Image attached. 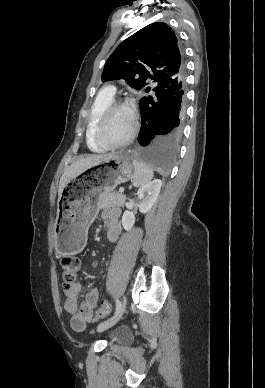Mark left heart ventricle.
Here are the masks:
<instances>
[{"instance_id":"obj_1","label":"left heart ventricle","mask_w":265,"mask_h":388,"mask_svg":"<svg viewBox=\"0 0 265 388\" xmlns=\"http://www.w3.org/2000/svg\"><path fill=\"white\" fill-rule=\"evenodd\" d=\"M131 120L127 110L111 111L102 124L101 136L108 142L119 141L129 132Z\"/></svg>"}]
</instances>
